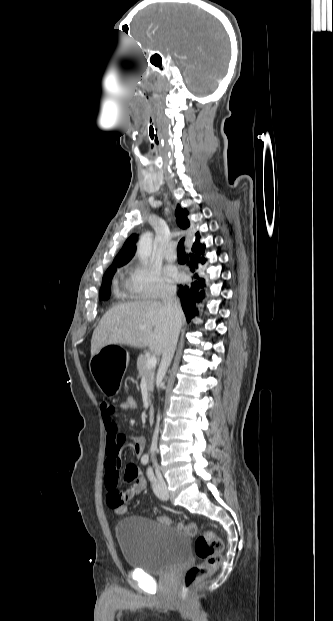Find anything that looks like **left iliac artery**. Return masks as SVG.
<instances>
[{
    "label": "left iliac artery",
    "mask_w": 333,
    "mask_h": 621,
    "mask_svg": "<svg viewBox=\"0 0 333 621\" xmlns=\"http://www.w3.org/2000/svg\"><path fill=\"white\" fill-rule=\"evenodd\" d=\"M147 476H148V479L151 481L153 488L155 489V487L157 486V480L154 476L152 467H148Z\"/></svg>",
    "instance_id": "44dca946"
}]
</instances>
